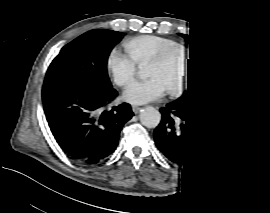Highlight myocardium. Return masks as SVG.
I'll list each match as a JSON object with an SVG mask.
<instances>
[{
    "instance_id": "1",
    "label": "myocardium",
    "mask_w": 270,
    "mask_h": 213,
    "mask_svg": "<svg viewBox=\"0 0 270 213\" xmlns=\"http://www.w3.org/2000/svg\"><path fill=\"white\" fill-rule=\"evenodd\" d=\"M183 54L185 55L188 59H190V64L188 65L187 73L185 78L182 80V82L176 86V87H169L168 91L170 95L176 96L186 89L191 85L192 83V76L194 72V60L193 57L190 53V51L182 46H177L173 48L171 51H165L160 53L159 55L155 56L149 63V66H157V65H164L168 62V60L174 55V54Z\"/></svg>"
}]
</instances>
